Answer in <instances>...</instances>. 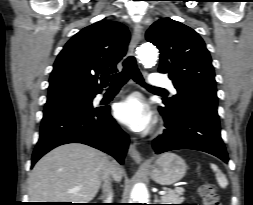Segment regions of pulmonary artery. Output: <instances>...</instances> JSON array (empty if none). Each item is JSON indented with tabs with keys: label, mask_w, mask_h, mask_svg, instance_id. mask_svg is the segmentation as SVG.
Returning a JSON list of instances; mask_svg holds the SVG:
<instances>
[{
	"label": "pulmonary artery",
	"mask_w": 253,
	"mask_h": 205,
	"mask_svg": "<svg viewBox=\"0 0 253 205\" xmlns=\"http://www.w3.org/2000/svg\"><path fill=\"white\" fill-rule=\"evenodd\" d=\"M149 82L152 85L155 86H161V87H166L168 88L173 94L176 93V89L173 86L172 82L168 79H163L161 77H159L157 74H151L150 78H149Z\"/></svg>",
	"instance_id": "e3ab8cb5"
}]
</instances>
